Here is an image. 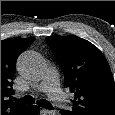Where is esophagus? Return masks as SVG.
I'll list each match as a JSON object with an SVG mask.
<instances>
[{
  "mask_svg": "<svg viewBox=\"0 0 115 115\" xmlns=\"http://www.w3.org/2000/svg\"><path fill=\"white\" fill-rule=\"evenodd\" d=\"M43 115H55V111L53 110H47V109H41L40 111Z\"/></svg>",
  "mask_w": 115,
  "mask_h": 115,
  "instance_id": "obj_1",
  "label": "esophagus"
}]
</instances>
